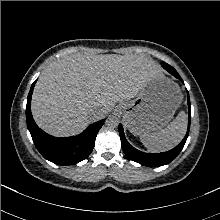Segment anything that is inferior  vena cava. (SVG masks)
<instances>
[{
    "label": "inferior vena cava",
    "instance_id": "obj_1",
    "mask_svg": "<svg viewBox=\"0 0 220 220\" xmlns=\"http://www.w3.org/2000/svg\"><path fill=\"white\" fill-rule=\"evenodd\" d=\"M96 113H97V110H94V109L91 110V114H92V115H95Z\"/></svg>",
    "mask_w": 220,
    "mask_h": 220
}]
</instances>
